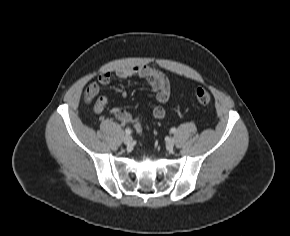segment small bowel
I'll use <instances>...</instances> for the list:
<instances>
[{"mask_svg":"<svg viewBox=\"0 0 290 236\" xmlns=\"http://www.w3.org/2000/svg\"><path fill=\"white\" fill-rule=\"evenodd\" d=\"M116 76L119 79H127L129 77H139L145 79L152 88L156 100L159 103L153 108L152 115L156 120H161L165 116V110L161 104L166 103L170 97V82L168 78L159 70L146 65H135L123 67L116 71ZM112 74L109 71L100 74L96 81H93L86 88V92L92 94L95 98L101 86L108 85L111 81ZM108 104V99L105 96H98L95 100L93 110L97 115H101ZM111 114L122 124H127L132 121V116L123 108L117 107L111 110Z\"/></svg>","mask_w":290,"mask_h":236,"instance_id":"c3829d8e","label":"small bowel"}]
</instances>
